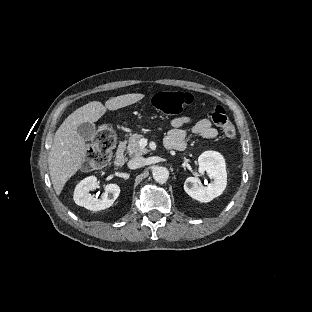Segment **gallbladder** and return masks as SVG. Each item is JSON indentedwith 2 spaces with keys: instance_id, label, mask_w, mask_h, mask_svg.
Listing matches in <instances>:
<instances>
[{
  "instance_id": "bac80fb5",
  "label": "gallbladder",
  "mask_w": 312,
  "mask_h": 312,
  "mask_svg": "<svg viewBox=\"0 0 312 312\" xmlns=\"http://www.w3.org/2000/svg\"><path fill=\"white\" fill-rule=\"evenodd\" d=\"M77 133L85 141H91L95 137L96 126L88 122L82 123L78 126Z\"/></svg>"
}]
</instances>
